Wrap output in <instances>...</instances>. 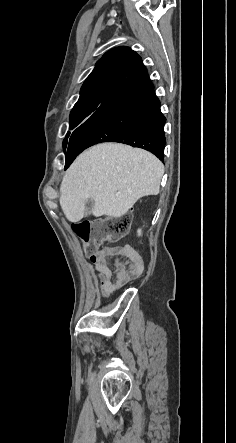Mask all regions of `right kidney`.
Returning a JSON list of instances; mask_svg holds the SVG:
<instances>
[{
	"label": "right kidney",
	"instance_id": "ca27d5eb",
	"mask_svg": "<svg viewBox=\"0 0 236 443\" xmlns=\"http://www.w3.org/2000/svg\"><path fill=\"white\" fill-rule=\"evenodd\" d=\"M138 234H139V235L141 234V230H138Z\"/></svg>",
	"mask_w": 236,
	"mask_h": 443
}]
</instances>
